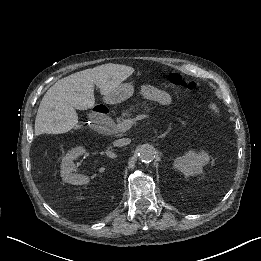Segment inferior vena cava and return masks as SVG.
I'll return each mask as SVG.
<instances>
[{
	"mask_svg": "<svg viewBox=\"0 0 261 261\" xmlns=\"http://www.w3.org/2000/svg\"><path fill=\"white\" fill-rule=\"evenodd\" d=\"M127 142H130V139H119L116 141V143L120 145H125Z\"/></svg>",
	"mask_w": 261,
	"mask_h": 261,
	"instance_id": "602c4592",
	"label": "inferior vena cava"
}]
</instances>
